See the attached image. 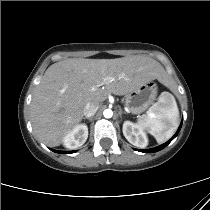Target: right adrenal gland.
<instances>
[{"label": "right adrenal gland", "mask_w": 210, "mask_h": 210, "mask_svg": "<svg viewBox=\"0 0 210 210\" xmlns=\"http://www.w3.org/2000/svg\"><path fill=\"white\" fill-rule=\"evenodd\" d=\"M83 119H88L91 122L93 120V117H84Z\"/></svg>", "instance_id": "2a0ac1e0"}]
</instances>
